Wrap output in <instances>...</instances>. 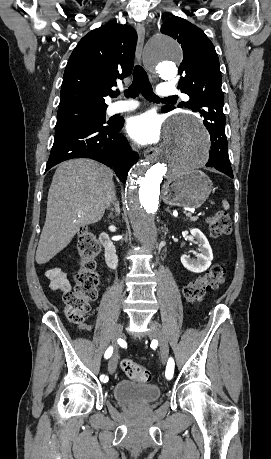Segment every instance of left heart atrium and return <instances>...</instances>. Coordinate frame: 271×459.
I'll use <instances>...</instances> for the list:
<instances>
[{
  "label": "left heart atrium",
  "instance_id": "left-heart-atrium-1",
  "mask_svg": "<svg viewBox=\"0 0 271 459\" xmlns=\"http://www.w3.org/2000/svg\"><path fill=\"white\" fill-rule=\"evenodd\" d=\"M127 131L137 144H156L162 135V119L154 113L141 114L130 120Z\"/></svg>",
  "mask_w": 271,
  "mask_h": 459
}]
</instances>
